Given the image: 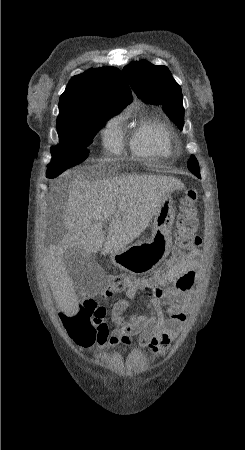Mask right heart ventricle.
Listing matches in <instances>:
<instances>
[{
    "label": "right heart ventricle",
    "instance_id": "right-heart-ventricle-1",
    "mask_svg": "<svg viewBox=\"0 0 245 450\" xmlns=\"http://www.w3.org/2000/svg\"><path fill=\"white\" fill-rule=\"evenodd\" d=\"M129 146L139 156H168L171 142L166 128L156 119L140 123L130 137Z\"/></svg>",
    "mask_w": 245,
    "mask_h": 450
}]
</instances>
